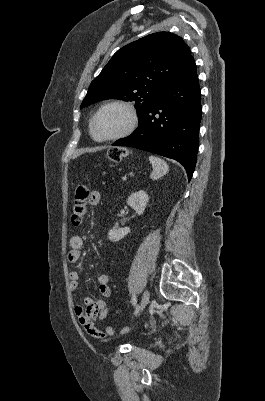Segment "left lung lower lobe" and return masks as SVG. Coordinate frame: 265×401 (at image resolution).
Masks as SVG:
<instances>
[{"instance_id": "obj_1", "label": "left lung lower lobe", "mask_w": 265, "mask_h": 401, "mask_svg": "<svg viewBox=\"0 0 265 401\" xmlns=\"http://www.w3.org/2000/svg\"><path fill=\"white\" fill-rule=\"evenodd\" d=\"M201 110V91L192 57L182 73L139 118L135 132L113 145L174 159L185 167L190 180L197 159Z\"/></svg>"}]
</instances>
